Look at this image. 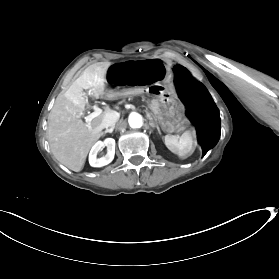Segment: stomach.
Segmentation results:
<instances>
[{"label":"stomach","instance_id":"1","mask_svg":"<svg viewBox=\"0 0 279 279\" xmlns=\"http://www.w3.org/2000/svg\"><path fill=\"white\" fill-rule=\"evenodd\" d=\"M149 111L160 124L163 131L171 133L179 131L185 123V115L178 101L154 97L149 102Z\"/></svg>","mask_w":279,"mask_h":279}]
</instances>
